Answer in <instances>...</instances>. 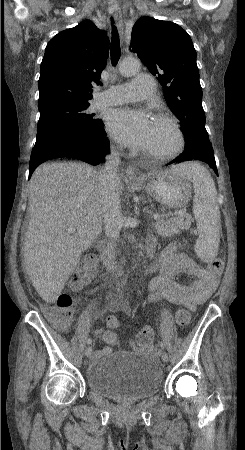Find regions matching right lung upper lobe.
Segmentation results:
<instances>
[{
	"label": "right lung upper lobe",
	"mask_w": 245,
	"mask_h": 450,
	"mask_svg": "<svg viewBox=\"0 0 245 450\" xmlns=\"http://www.w3.org/2000/svg\"><path fill=\"white\" fill-rule=\"evenodd\" d=\"M109 38L92 22L58 33L49 41L41 63L38 108L55 104H89L92 87L108 57Z\"/></svg>",
	"instance_id": "obj_1"
}]
</instances>
